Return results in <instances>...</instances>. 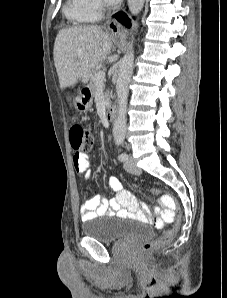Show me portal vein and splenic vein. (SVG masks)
Here are the masks:
<instances>
[{"label": "portal vein and splenic vein", "mask_w": 227, "mask_h": 298, "mask_svg": "<svg viewBox=\"0 0 227 298\" xmlns=\"http://www.w3.org/2000/svg\"><path fill=\"white\" fill-rule=\"evenodd\" d=\"M105 80V72L104 71H100L96 76H95V83L99 86L103 85V82Z\"/></svg>", "instance_id": "1"}]
</instances>
